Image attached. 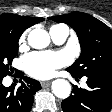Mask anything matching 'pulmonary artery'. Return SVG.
I'll list each match as a JSON object with an SVG mask.
<instances>
[{
  "mask_svg": "<svg viewBox=\"0 0 112 112\" xmlns=\"http://www.w3.org/2000/svg\"><path fill=\"white\" fill-rule=\"evenodd\" d=\"M68 34H69V29L67 26H64V25L59 28L52 29L50 31V35H51L53 41L57 44L64 43Z\"/></svg>",
  "mask_w": 112,
  "mask_h": 112,
  "instance_id": "pulmonary-artery-1",
  "label": "pulmonary artery"
}]
</instances>
